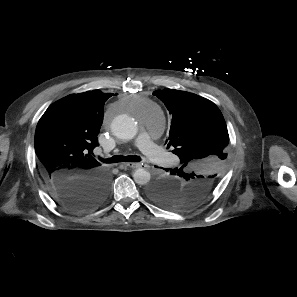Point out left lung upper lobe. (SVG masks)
<instances>
[{
	"label": "left lung upper lobe",
	"instance_id": "1",
	"mask_svg": "<svg viewBox=\"0 0 297 297\" xmlns=\"http://www.w3.org/2000/svg\"><path fill=\"white\" fill-rule=\"evenodd\" d=\"M153 94L169 110L171 126L166 143L174 147L181 166L160 177L147 195L170 209H190L213 191L226 166L227 126L219 108L208 99L174 89Z\"/></svg>",
	"mask_w": 297,
	"mask_h": 297
}]
</instances>
